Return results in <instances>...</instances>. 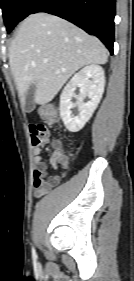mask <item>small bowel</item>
<instances>
[{
    "label": "small bowel",
    "instance_id": "small-bowel-1",
    "mask_svg": "<svg viewBox=\"0 0 134 281\" xmlns=\"http://www.w3.org/2000/svg\"><path fill=\"white\" fill-rule=\"evenodd\" d=\"M31 142L34 154V171H33V184L35 187V196L40 197L49 193L60 181V177L47 176V164L43 161L40 153L45 145L50 141V131L43 124H30ZM51 167L56 170L60 163L56 153H52L49 159Z\"/></svg>",
    "mask_w": 134,
    "mask_h": 281
}]
</instances>
